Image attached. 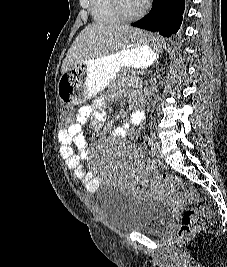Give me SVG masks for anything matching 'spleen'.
Wrapping results in <instances>:
<instances>
[{
  "label": "spleen",
  "mask_w": 227,
  "mask_h": 267,
  "mask_svg": "<svg viewBox=\"0 0 227 267\" xmlns=\"http://www.w3.org/2000/svg\"><path fill=\"white\" fill-rule=\"evenodd\" d=\"M156 31H145V33H132L133 43H145L146 47H154L156 55H165V46H160V38H154Z\"/></svg>",
  "instance_id": "3e777b00"
}]
</instances>
